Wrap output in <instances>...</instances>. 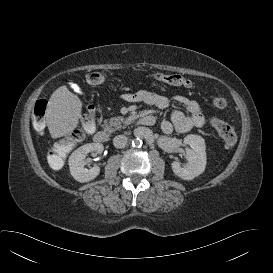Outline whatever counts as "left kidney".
<instances>
[{
    "instance_id": "obj_1",
    "label": "left kidney",
    "mask_w": 273,
    "mask_h": 273,
    "mask_svg": "<svg viewBox=\"0 0 273 273\" xmlns=\"http://www.w3.org/2000/svg\"><path fill=\"white\" fill-rule=\"evenodd\" d=\"M188 163L182 167L179 162H172L174 174L183 180H192L202 174L206 167V146L204 139L199 135L189 134L184 138Z\"/></svg>"
}]
</instances>
